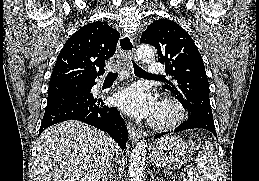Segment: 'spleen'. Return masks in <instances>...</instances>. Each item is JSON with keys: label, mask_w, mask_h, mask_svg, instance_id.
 Segmentation results:
<instances>
[{"label": "spleen", "mask_w": 259, "mask_h": 181, "mask_svg": "<svg viewBox=\"0 0 259 181\" xmlns=\"http://www.w3.org/2000/svg\"><path fill=\"white\" fill-rule=\"evenodd\" d=\"M196 163L198 167L190 168L188 171L191 181H218V159L211 142H205L203 150L196 158Z\"/></svg>", "instance_id": "spleen-1"}]
</instances>
